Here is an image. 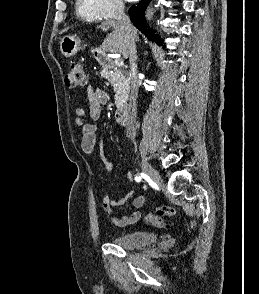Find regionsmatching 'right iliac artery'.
<instances>
[{
    "instance_id": "right-iliac-artery-1",
    "label": "right iliac artery",
    "mask_w": 259,
    "mask_h": 294,
    "mask_svg": "<svg viewBox=\"0 0 259 294\" xmlns=\"http://www.w3.org/2000/svg\"><path fill=\"white\" fill-rule=\"evenodd\" d=\"M142 177H143V178H146V175H145V174H142ZM135 180H136L137 182H140V181H141V176H136V177H135Z\"/></svg>"
}]
</instances>
